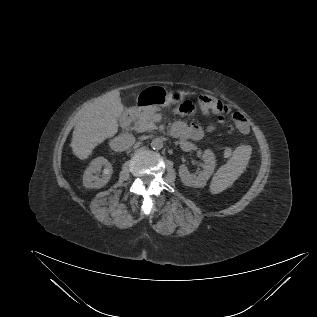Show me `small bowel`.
<instances>
[{
    "instance_id": "1",
    "label": "small bowel",
    "mask_w": 317,
    "mask_h": 317,
    "mask_svg": "<svg viewBox=\"0 0 317 317\" xmlns=\"http://www.w3.org/2000/svg\"><path fill=\"white\" fill-rule=\"evenodd\" d=\"M205 114L208 111H204ZM242 121H244V127L239 128V130L246 134L249 132V125L246 122L247 120L242 116ZM212 129V125L202 127L196 123H186L185 121L178 120L176 121L171 128V133L174 137L180 139L181 141L187 140H200L204 137L205 133Z\"/></svg>"
}]
</instances>
